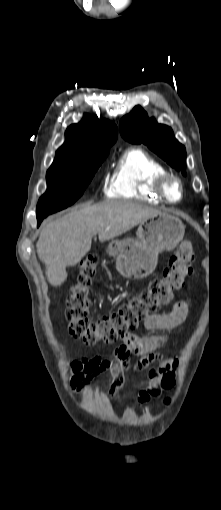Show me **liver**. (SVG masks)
Segmentation results:
<instances>
[{
    "label": "liver",
    "instance_id": "obj_1",
    "mask_svg": "<svg viewBox=\"0 0 221 510\" xmlns=\"http://www.w3.org/2000/svg\"><path fill=\"white\" fill-rule=\"evenodd\" d=\"M159 213L140 203L106 200L83 205L50 221L41 230L36 244L49 284L57 287L65 282L66 267L81 261L90 251L96 234L100 242L114 239Z\"/></svg>",
    "mask_w": 221,
    "mask_h": 510
}]
</instances>
